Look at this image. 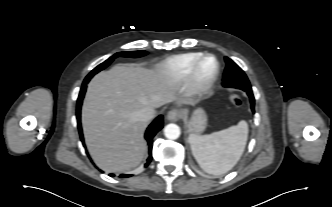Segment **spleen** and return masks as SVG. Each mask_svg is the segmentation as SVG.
<instances>
[{
	"label": "spleen",
	"mask_w": 332,
	"mask_h": 207,
	"mask_svg": "<svg viewBox=\"0 0 332 207\" xmlns=\"http://www.w3.org/2000/svg\"><path fill=\"white\" fill-rule=\"evenodd\" d=\"M248 137V125H237L206 135L191 134L188 141L199 166L207 173L221 175L231 170L241 158Z\"/></svg>",
	"instance_id": "1"
}]
</instances>
